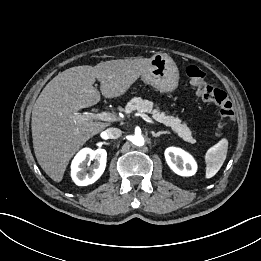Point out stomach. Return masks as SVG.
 Returning <instances> with one entry per match:
<instances>
[{
	"mask_svg": "<svg viewBox=\"0 0 261 261\" xmlns=\"http://www.w3.org/2000/svg\"><path fill=\"white\" fill-rule=\"evenodd\" d=\"M141 78L161 93H171L178 87L179 71L168 54L157 53L152 56L150 65Z\"/></svg>",
	"mask_w": 261,
	"mask_h": 261,
	"instance_id": "obj_1",
	"label": "stomach"
}]
</instances>
